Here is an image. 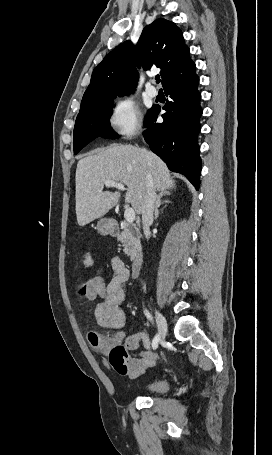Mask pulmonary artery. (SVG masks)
<instances>
[{
    "label": "pulmonary artery",
    "instance_id": "obj_1",
    "mask_svg": "<svg viewBox=\"0 0 272 455\" xmlns=\"http://www.w3.org/2000/svg\"><path fill=\"white\" fill-rule=\"evenodd\" d=\"M145 90L147 95L152 98L156 97L158 94L157 89L151 84H147Z\"/></svg>",
    "mask_w": 272,
    "mask_h": 455
}]
</instances>
